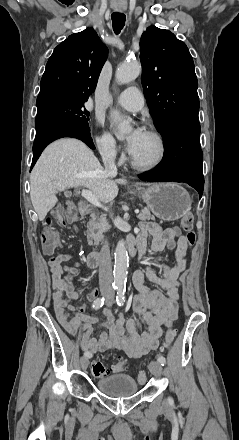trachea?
Wrapping results in <instances>:
<instances>
[{"label": "trachea", "mask_w": 239, "mask_h": 440, "mask_svg": "<svg viewBox=\"0 0 239 440\" xmlns=\"http://www.w3.org/2000/svg\"><path fill=\"white\" fill-rule=\"evenodd\" d=\"M111 18H112L113 30L116 33V35H118L125 25L126 16L124 15V13L115 12L112 13Z\"/></svg>", "instance_id": "1"}]
</instances>
